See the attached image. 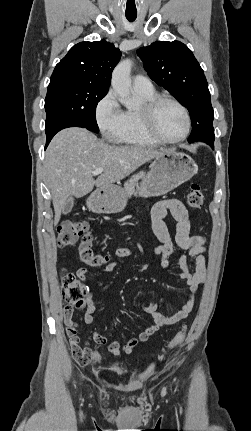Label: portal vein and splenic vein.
<instances>
[{
    "mask_svg": "<svg viewBox=\"0 0 251 431\" xmlns=\"http://www.w3.org/2000/svg\"><path fill=\"white\" fill-rule=\"evenodd\" d=\"M103 171H104V169H103V168H97V169H95L92 173H93L94 175H98V174L103 173Z\"/></svg>",
    "mask_w": 251,
    "mask_h": 431,
    "instance_id": "18ae733b",
    "label": "portal vein and splenic vein"
}]
</instances>
